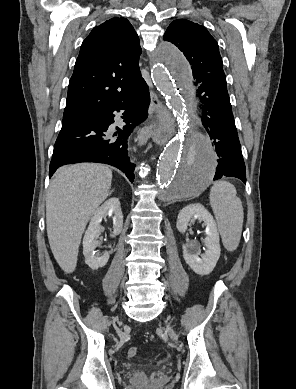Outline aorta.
Segmentation results:
<instances>
[{"label": "aorta", "instance_id": "obj_1", "mask_svg": "<svg viewBox=\"0 0 296 389\" xmlns=\"http://www.w3.org/2000/svg\"><path fill=\"white\" fill-rule=\"evenodd\" d=\"M152 79L177 118L179 134L162 152L157 166V183L164 198L197 195L215 174V152L201 131L184 134L188 126L186 108L196 104L200 90L184 55L172 44L162 42L155 54Z\"/></svg>", "mask_w": 296, "mask_h": 389}]
</instances>
